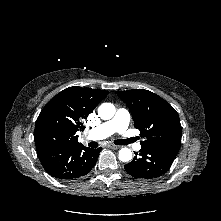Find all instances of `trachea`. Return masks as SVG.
I'll list each match as a JSON object with an SVG mask.
<instances>
[{"mask_svg":"<svg viewBox=\"0 0 221 221\" xmlns=\"http://www.w3.org/2000/svg\"><path fill=\"white\" fill-rule=\"evenodd\" d=\"M134 140H135V138L132 137V138H129V139L115 140L114 143L117 144V145H127L128 143H130V142H132ZM89 146L93 147V148H96L98 146V143L97 142H90Z\"/></svg>","mask_w":221,"mask_h":221,"instance_id":"3493384b","label":"trachea"}]
</instances>
